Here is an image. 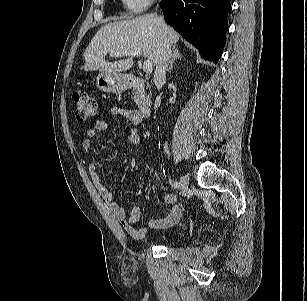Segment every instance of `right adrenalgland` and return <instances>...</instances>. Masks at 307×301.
<instances>
[{
  "instance_id": "2a0ac1e0",
  "label": "right adrenal gland",
  "mask_w": 307,
  "mask_h": 301,
  "mask_svg": "<svg viewBox=\"0 0 307 301\" xmlns=\"http://www.w3.org/2000/svg\"><path fill=\"white\" fill-rule=\"evenodd\" d=\"M172 51H173V53H172V59H171V61H170L169 67H168V72H171V71H172L173 64H174L175 60H176V59H181V58H182V56H181V54H180V51H179V49L177 48L176 45H173Z\"/></svg>"
}]
</instances>
